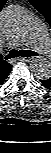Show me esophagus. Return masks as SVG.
Returning <instances> with one entry per match:
<instances>
[{"label": "esophagus", "mask_w": 51, "mask_h": 153, "mask_svg": "<svg viewBox=\"0 0 51 153\" xmlns=\"http://www.w3.org/2000/svg\"><path fill=\"white\" fill-rule=\"evenodd\" d=\"M33 59V57H22L20 58V61L29 62Z\"/></svg>", "instance_id": "34e87169"}]
</instances>
